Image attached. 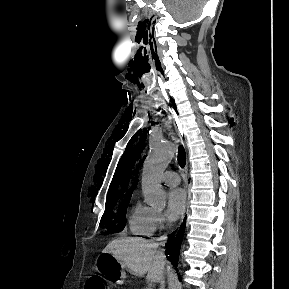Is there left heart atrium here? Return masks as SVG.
Instances as JSON below:
<instances>
[{
	"label": "left heart atrium",
	"mask_w": 289,
	"mask_h": 289,
	"mask_svg": "<svg viewBox=\"0 0 289 289\" xmlns=\"http://www.w3.org/2000/svg\"><path fill=\"white\" fill-rule=\"evenodd\" d=\"M187 196L183 189H172L167 195V216L170 220L180 218L185 212Z\"/></svg>",
	"instance_id": "left-heart-atrium-1"
}]
</instances>
